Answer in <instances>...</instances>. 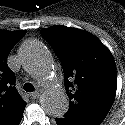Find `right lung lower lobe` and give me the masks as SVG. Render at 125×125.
Masks as SVG:
<instances>
[{"mask_svg": "<svg viewBox=\"0 0 125 125\" xmlns=\"http://www.w3.org/2000/svg\"><path fill=\"white\" fill-rule=\"evenodd\" d=\"M25 107H23L21 110H19L16 114L13 116L7 118L3 122L0 123V125H19L21 122V119L23 117Z\"/></svg>", "mask_w": 125, "mask_h": 125, "instance_id": "98d812e1", "label": "right lung lower lobe"}]
</instances>
